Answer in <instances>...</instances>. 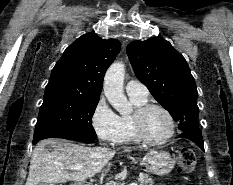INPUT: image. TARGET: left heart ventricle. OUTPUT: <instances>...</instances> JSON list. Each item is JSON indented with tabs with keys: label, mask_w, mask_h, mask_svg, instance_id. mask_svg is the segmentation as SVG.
<instances>
[{
	"label": "left heart ventricle",
	"mask_w": 233,
	"mask_h": 185,
	"mask_svg": "<svg viewBox=\"0 0 233 185\" xmlns=\"http://www.w3.org/2000/svg\"><path fill=\"white\" fill-rule=\"evenodd\" d=\"M145 132L149 138L158 140L170 132V121L165 113L158 109H151L144 119Z\"/></svg>",
	"instance_id": "b2bd125f"
}]
</instances>
